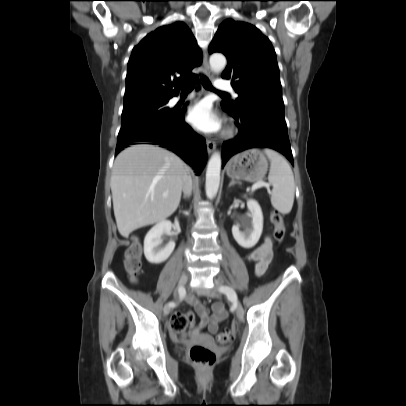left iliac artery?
<instances>
[{"label":"left iliac artery","mask_w":406,"mask_h":406,"mask_svg":"<svg viewBox=\"0 0 406 406\" xmlns=\"http://www.w3.org/2000/svg\"><path fill=\"white\" fill-rule=\"evenodd\" d=\"M218 291H219L220 293L226 294L227 297H228L230 300H233L234 298L237 297L235 291H234L231 287H229V286H221V287L218 289Z\"/></svg>","instance_id":"1"}]
</instances>
